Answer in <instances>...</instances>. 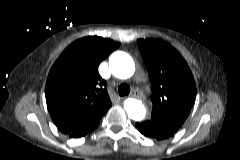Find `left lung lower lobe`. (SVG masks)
I'll return each instance as SVG.
<instances>
[{
	"mask_svg": "<svg viewBox=\"0 0 240 160\" xmlns=\"http://www.w3.org/2000/svg\"><path fill=\"white\" fill-rule=\"evenodd\" d=\"M136 127L144 136L155 139V140H164L173 136L174 133L169 130L159 126L153 121L146 120L142 122H137Z\"/></svg>",
	"mask_w": 240,
	"mask_h": 160,
	"instance_id": "1",
	"label": "left lung lower lobe"
}]
</instances>
